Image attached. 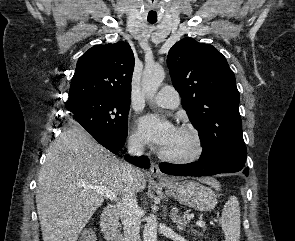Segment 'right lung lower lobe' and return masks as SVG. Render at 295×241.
Listing matches in <instances>:
<instances>
[{
    "label": "right lung lower lobe",
    "instance_id": "1",
    "mask_svg": "<svg viewBox=\"0 0 295 241\" xmlns=\"http://www.w3.org/2000/svg\"><path fill=\"white\" fill-rule=\"evenodd\" d=\"M96 141H98L102 146L109 149L113 153H117L120 150H122L125 139L126 138H116L111 135H108L104 132L96 131V130H87ZM126 160L130 161L131 163L143 167V168H149V160L147 157L142 156L139 158H131L128 155H126Z\"/></svg>",
    "mask_w": 295,
    "mask_h": 241
}]
</instances>
